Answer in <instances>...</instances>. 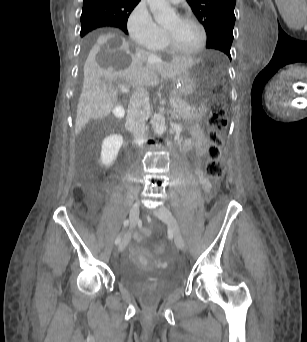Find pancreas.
<instances>
[{"instance_id": "1", "label": "pancreas", "mask_w": 307, "mask_h": 342, "mask_svg": "<svg viewBox=\"0 0 307 342\" xmlns=\"http://www.w3.org/2000/svg\"><path fill=\"white\" fill-rule=\"evenodd\" d=\"M171 100L173 104H184L186 99L180 97L179 94H172ZM206 108L204 106H182L181 110L175 112L174 116L179 117H204Z\"/></svg>"}]
</instances>
